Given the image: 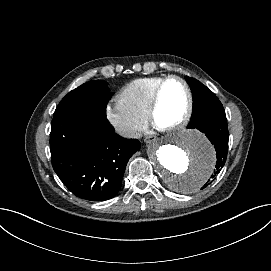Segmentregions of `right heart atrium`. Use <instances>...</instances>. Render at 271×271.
I'll use <instances>...</instances> for the list:
<instances>
[{
    "instance_id": "1",
    "label": "right heart atrium",
    "mask_w": 271,
    "mask_h": 271,
    "mask_svg": "<svg viewBox=\"0 0 271 271\" xmlns=\"http://www.w3.org/2000/svg\"><path fill=\"white\" fill-rule=\"evenodd\" d=\"M106 117L127 139H135L147 127V119L132 112L120 97L106 104Z\"/></svg>"
}]
</instances>
